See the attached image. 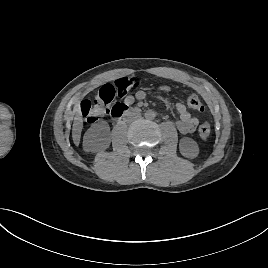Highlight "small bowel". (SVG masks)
<instances>
[{
  "instance_id": "obj_1",
  "label": "small bowel",
  "mask_w": 268,
  "mask_h": 268,
  "mask_svg": "<svg viewBox=\"0 0 268 268\" xmlns=\"http://www.w3.org/2000/svg\"><path fill=\"white\" fill-rule=\"evenodd\" d=\"M171 90L168 85H159L153 90L139 89L134 95H128L124 99V104L132 105L135 100H143L152 92L167 93ZM175 111L179 115V119L176 122V127L182 134H188L195 131L199 124V120L196 116L190 113L183 103H177L175 105Z\"/></svg>"
}]
</instances>
